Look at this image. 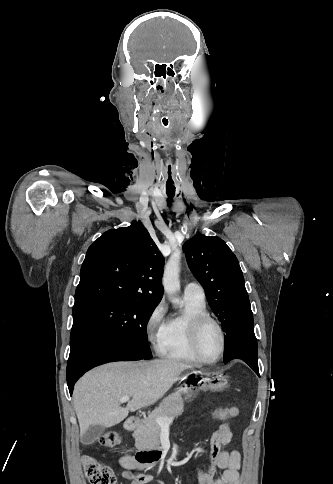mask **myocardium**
I'll list each match as a JSON object with an SVG mask.
<instances>
[{"label": "myocardium", "mask_w": 333, "mask_h": 484, "mask_svg": "<svg viewBox=\"0 0 333 484\" xmlns=\"http://www.w3.org/2000/svg\"><path fill=\"white\" fill-rule=\"evenodd\" d=\"M207 324H213L217 328L219 335H220V341H221L220 350L214 358H207L202 353V351L200 349L201 332ZM190 342H191V346H192L194 353L196 354V356L202 362L213 363V362L218 361L223 356V354L225 352V347H226L225 331H224L222 325L220 324V322L218 320H216L214 317L210 316L209 314L208 315H202V316L195 318L193 320L192 324H191V327H190Z\"/></svg>", "instance_id": "myocardium-1"}]
</instances>
